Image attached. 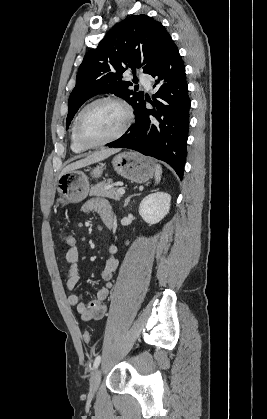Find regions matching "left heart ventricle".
<instances>
[{
  "instance_id": "left-heart-ventricle-1",
  "label": "left heart ventricle",
  "mask_w": 267,
  "mask_h": 419,
  "mask_svg": "<svg viewBox=\"0 0 267 419\" xmlns=\"http://www.w3.org/2000/svg\"><path fill=\"white\" fill-rule=\"evenodd\" d=\"M124 122L122 108L112 102L97 103L88 108L80 123V135L88 143H96L115 134Z\"/></svg>"
}]
</instances>
